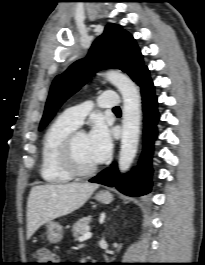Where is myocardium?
Listing matches in <instances>:
<instances>
[{"label": "myocardium", "mask_w": 205, "mask_h": 265, "mask_svg": "<svg viewBox=\"0 0 205 265\" xmlns=\"http://www.w3.org/2000/svg\"><path fill=\"white\" fill-rule=\"evenodd\" d=\"M80 134H85V133L81 130H74L73 132H71L67 136L63 144L62 151H61L62 165L65 168V170L68 173H70L73 177H87V176L94 174L98 169L97 164L89 168H81L76 163L75 155H74V144H75L76 138Z\"/></svg>", "instance_id": "f54148a6"}]
</instances>
